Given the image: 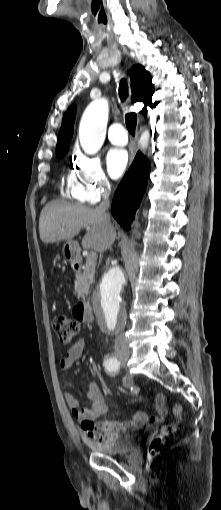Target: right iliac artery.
Returning <instances> with one entry per match:
<instances>
[{"label":"right iliac artery","mask_w":221,"mask_h":510,"mask_svg":"<svg viewBox=\"0 0 221 510\" xmlns=\"http://www.w3.org/2000/svg\"><path fill=\"white\" fill-rule=\"evenodd\" d=\"M105 369L110 373H117L120 369V363L119 361L113 357H107L104 361Z\"/></svg>","instance_id":"1"}]
</instances>
